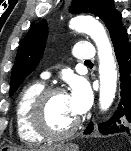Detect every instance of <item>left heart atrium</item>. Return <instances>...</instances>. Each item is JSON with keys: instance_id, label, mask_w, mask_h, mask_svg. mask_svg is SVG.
Returning <instances> with one entry per match:
<instances>
[{"instance_id": "1", "label": "left heart atrium", "mask_w": 131, "mask_h": 151, "mask_svg": "<svg viewBox=\"0 0 131 151\" xmlns=\"http://www.w3.org/2000/svg\"><path fill=\"white\" fill-rule=\"evenodd\" d=\"M67 96L75 116L78 117L87 110L90 103V91L85 83L76 82Z\"/></svg>"}]
</instances>
